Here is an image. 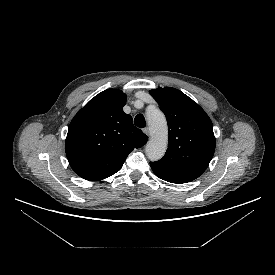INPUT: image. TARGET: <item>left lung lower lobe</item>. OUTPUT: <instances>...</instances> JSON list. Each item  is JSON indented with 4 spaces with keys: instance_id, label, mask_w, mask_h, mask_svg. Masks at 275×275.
I'll list each match as a JSON object with an SVG mask.
<instances>
[{
    "instance_id": "left-lung-lower-lobe-1",
    "label": "left lung lower lobe",
    "mask_w": 275,
    "mask_h": 275,
    "mask_svg": "<svg viewBox=\"0 0 275 275\" xmlns=\"http://www.w3.org/2000/svg\"><path fill=\"white\" fill-rule=\"evenodd\" d=\"M151 168L154 172V174L159 177L160 179H163L165 181L171 182V183H186L189 182L187 179L183 177L176 176L174 174H171L169 172L163 171L155 166H153L151 163Z\"/></svg>"
}]
</instances>
